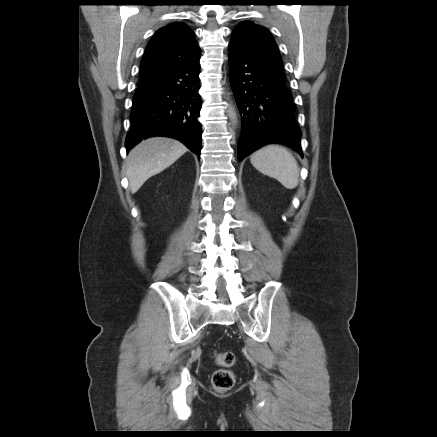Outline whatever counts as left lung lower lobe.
<instances>
[{
    "instance_id": "1",
    "label": "left lung lower lobe",
    "mask_w": 437,
    "mask_h": 437,
    "mask_svg": "<svg viewBox=\"0 0 437 437\" xmlns=\"http://www.w3.org/2000/svg\"><path fill=\"white\" fill-rule=\"evenodd\" d=\"M229 64L230 83L242 116L238 160L269 143L287 144L302 155L301 131L285 82L232 46Z\"/></svg>"
}]
</instances>
